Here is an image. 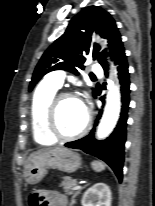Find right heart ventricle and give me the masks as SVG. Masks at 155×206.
<instances>
[{
    "mask_svg": "<svg viewBox=\"0 0 155 206\" xmlns=\"http://www.w3.org/2000/svg\"><path fill=\"white\" fill-rule=\"evenodd\" d=\"M58 88L43 82L35 91L30 108V121L33 138L39 145H50L55 142L46 129L45 114L48 104Z\"/></svg>",
    "mask_w": 155,
    "mask_h": 206,
    "instance_id": "obj_1",
    "label": "right heart ventricle"
}]
</instances>
